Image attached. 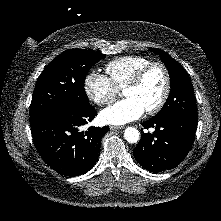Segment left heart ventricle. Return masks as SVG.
Listing matches in <instances>:
<instances>
[{
  "label": "left heart ventricle",
  "instance_id": "1",
  "mask_svg": "<svg viewBox=\"0 0 221 221\" xmlns=\"http://www.w3.org/2000/svg\"><path fill=\"white\" fill-rule=\"evenodd\" d=\"M163 89V72L159 68H153L137 87L124 90V96L134 98L146 110L159 101Z\"/></svg>",
  "mask_w": 221,
  "mask_h": 221
}]
</instances>
